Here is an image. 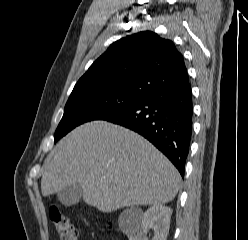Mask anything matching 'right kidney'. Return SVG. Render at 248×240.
Segmentation results:
<instances>
[{
    "mask_svg": "<svg viewBox=\"0 0 248 240\" xmlns=\"http://www.w3.org/2000/svg\"><path fill=\"white\" fill-rule=\"evenodd\" d=\"M172 209L164 205L150 207L127 231L129 240H147L146 234L150 229L154 230L152 240H166L169 233Z\"/></svg>",
    "mask_w": 248,
    "mask_h": 240,
    "instance_id": "ca27d5eb",
    "label": "right kidney"
}]
</instances>
